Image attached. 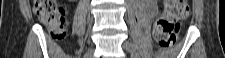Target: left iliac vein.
Listing matches in <instances>:
<instances>
[{
	"instance_id": "obj_1",
	"label": "left iliac vein",
	"mask_w": 225,
	"mask_h": 58,
	"mask_svg": "<svg viewBox=\"0 0 225 58\" xmlns=\"http://www.w3.org/2000/svg\"><path fill=\"white\" fill-rule=\"evenodd\" d=\"M123 48L131 54L132 58H140V54L138 53L137 48L132 42L125 41L123 43Z\"/></svg>"
}]
</instances>
